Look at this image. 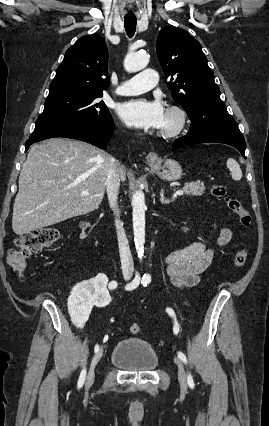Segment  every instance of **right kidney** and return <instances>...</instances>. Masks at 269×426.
I'll return each mask as SVG.
<instances>
[{
  "instance_id": "right-kidney-1",
  "label": "right kidney",
  "mask_w": 269,
  "mask_h": 426,
  "mask_svg": "<svg viewBox=\"0 0 269 426\" xmlns=\"http://www.w3.org/2000/svg\"><path fill=\"white\" fill-rule=\"evenodd\" d=\"M79 227L82 229L80 239H85V231L90 227V223L80 222ZM105 279L104 273H96L94 279L78 283L73 288L68 299V309L70 313L81 316L82 324L88 320L92 307L94 310L103 311L110 305L112 296Z\"/></svg>"
}]
</instances>
